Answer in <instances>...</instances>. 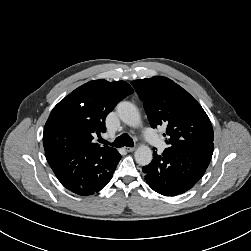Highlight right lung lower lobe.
Instances as JSON below:
<instances>
[{"instance_id":"obj_1","label":"right lung lower lobe","mask_w":251,"mask_h":251,"mask_svg":"<svg viewBox=\"0 0 251 251\" xmlns=\"http://www.w3.org/2000/svg\"><path fill=\"white\" fill-rule=\"evenodd\" d=\"M47 161L61 184L78 195L100 191L112 178L121 155L116 151L111 161L103 153L71 147L45 152Z\"/></svg>"}]
</instances>
